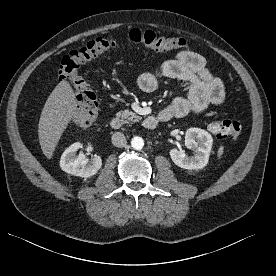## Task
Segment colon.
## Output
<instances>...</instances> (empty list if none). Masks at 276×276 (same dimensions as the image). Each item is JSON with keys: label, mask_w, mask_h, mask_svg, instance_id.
I'll return each instance as SVG.
<instances>
[{"label": "colon", "mask_w": 276, "mask_h": 276, "mask_svg": "<svg viewBox=\"0 0 276 276\" xmlns=\"http://www.w3.org/2000/svg\"><path fill=\"white\" fill-rule=\"evenodd\" d=\"M125 43L142 45L159 52L183 49L187 46L186 41L179 37L163 36L151 30L132 29L124 39L97 37L82 47L70 51L61 60L59 76L69 83L74 94L75 125L89 126L98 114L97 97L87 81L79 74L81 65L116 50ZM208 129L218 138L235 139L242 131V124L237 120H214L208 125Z\"/></svg>", "instance_id": "obj_1"}]
</instances>
